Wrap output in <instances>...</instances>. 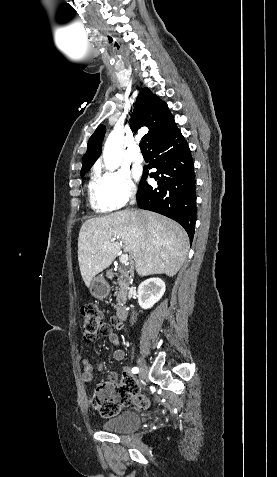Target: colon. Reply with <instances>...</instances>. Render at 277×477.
<instances>
[{
	"label": "colon",
	"mask_w": 277,
	"mask_h": 477,
	"mask_svg": "<svg viewBox=\"0 0 277 477\" xmlns=\"http://www.w3.org/2000/svg\"><path fill=\"white\" fill-rule=\"evenodd\" d=\"M81 316L84 338L92 342L101 332L102 313L96 304L89 303L82 307ZM131 403L139 409H147L150 404L146 396L139 394L138 386L131 380L105 382L96 388L92 397L93 408L105 417L116 415Z\"/></svg>",
	"instance_id": "colon-1"
}]
</instances>
